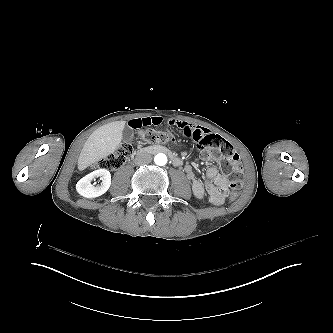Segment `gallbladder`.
Here are the masks:
<instances>
[{
    "label": "gallbladder",
    "mask_w": 333,
    "mask_h": 333,
    "mask_svg": "<svg viewBox=\"0 0 333 333\" xmlns=\"http://www.w3.org/2000/svg\"><path fill=\"white\" fill-rule=\"evenodd\" d=\"M134 131L132 128L125 126L122 131V139L124 142H130L133 140Z\"/></svg>",
    "instance_id": "gallbladder-1"
}]
</instances>
